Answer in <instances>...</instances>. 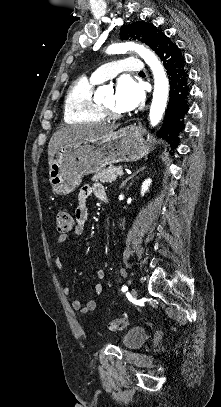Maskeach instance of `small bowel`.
I'll return each instance as SVG.
<instances>
[{"label":"small bowel","instance_id":"c3829d8e","mask_svg":"<svg viewBox=\"0 0 221 407\" xmlns=\"http://www.w3.org/2000/svg\"><path fill=\"white\" fill-rule=\"evenodd\" d=\"M91 193L94 194V196L101 200V201H106L108 199L107 193L105 188L102 185L95 184L93 185L92 188L90 187H83L80 189L77 197V207L74 212V227L72 230V234L74 236H79L83 233L88 216H89V210H88V198L90 197ZM70 238V234H61L57 238V243L62 244L66 241H68ZM55 263L58 268H61L62 266V261L60 258H57L55 260ZM95 277L97 279V282L94 285V291L96 294L100 295L103 292V285L101 281H103L106 278V271L103 268H98L95 270ZM64 292L66 295H71V290L67 287L64 288ZM71 305L74 310L79 311L82 314L91 312L97 308V302L96 300H88L86 304H82V302L79 299H73L71 301Z\"/></svg>","mask_w":221,"mask_h":407}]
</instances>
